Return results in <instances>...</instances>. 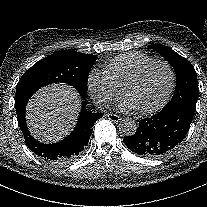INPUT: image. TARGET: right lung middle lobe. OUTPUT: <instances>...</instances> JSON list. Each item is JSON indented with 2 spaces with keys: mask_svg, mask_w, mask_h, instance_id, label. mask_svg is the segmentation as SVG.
<instances>
[{
  "mask_svg": "<svg viewBox=\"0 0 207 207\" xmlns=\"http://www.w3.org/2000/svg\"><path fill=\"white\" fill-rule=\"evenodd\" d=\"M96 60L95 55L66 50L36 62L17 84L15 105L28 101L41 87L57 82L70 84L86 96L89 72Z\"/></svg>",
  "mask_w": 207,
  "mask_h": 207,
  "instance_id": "obj_1",
  "label": "right lung middle lobe"
}]
</instances>
